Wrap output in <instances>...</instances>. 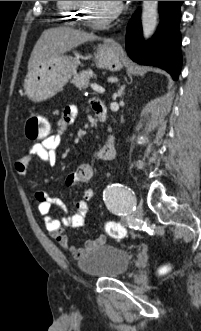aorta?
I'll list each match as a JSON object with an SVG mask.
<instances>
[{
    "instance_id": "1",
    "label": "aorta",
    "mask_w": 201,
    "mask_h": 331,
    "mask_svg": "<svg viewBox=\"0 0 201 331\" xmlns=\"http://www.w3.org/2000/svg\"><path fill=\"white\" fill-rule=\"evenodd\" d=\"M158 1H143L142 30L144 39H149L157 25Z\"/></svg>"
}]
</instances>
